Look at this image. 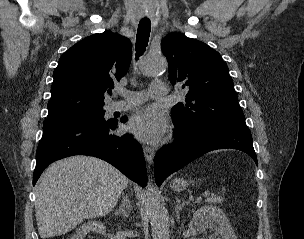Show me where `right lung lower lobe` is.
<instances>
[{
    "label": "right lung lower lobe",
    "mask_w": 304,
    "mask_h": 239,
    "mask_svg": "<svg viewBox=\"0 0 304 239\" xmlns=\"http://www.w3.org/2000/svg\"><path fill=\"white\" fill-rule=\"evenodd\" d=\"M120 121L125 123L127 117ZM117 124V120H108L43 127L36 152L33 185L50 163L73 155H89L107 161L144 187L147 172L142 147L131 135H115Z\"/></svg>",
    "instance_id": "98d812e1"
}]
</instances>
